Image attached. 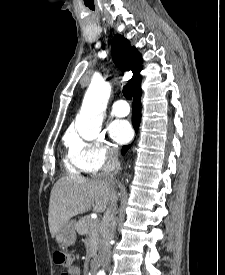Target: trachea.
I'll use <instances>...</instances> for the list:
<instances>
[{
	"label": "trachea",
	"instance_id": "trachea-1",
	"mask_svg": "<svg viewBox=\"0 0 225 275\" xmlns=\"http://www.w3.org/2000/svg\"><path fill=\"white\" fill-rule=\"evenodd\" d=\"M123 95L126 99L128 100H131L132 99V88H131V85L130 84H126L124 87H123Z\"/></svg>",
	"mask_w": 225,
	"mask_h": 275
}]
</instances>
